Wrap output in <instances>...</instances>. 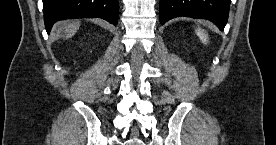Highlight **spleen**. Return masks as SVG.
I'll return each instance as SVG.
<instances>
[{
    "label": "spleen",
    "mask_w": 276,
    "mask_h": 145,
    "mask_svg": "<svg viewBox=\"0 0 276 145\" xmlns=\"http://www.w3.org/2000/svg\"><path fill=\"white\" fill-rule=\"evenodd\" d=\"M196 32H197L198 37L201 39L202 43L206 45L208 43L207 33L201 28H198L196 30Z\"/></svg>",
    "instance_id": "1"
}]
</instances>
